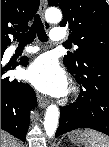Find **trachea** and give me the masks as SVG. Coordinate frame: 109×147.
<instances>
[{"label": "trachea", "instance_id": "3493384b", "mask_svg": "<svg viewBox=\"0 0 109 147\" xmlns=\"http://www.w3.org/2000/svg\"><path fill=\"white\" fill-rule=\"evenodd\" d=\"M36 35L38 36L40 41H42V42L48 41V36L44 30V25H43L39 15H35L33 24L27 33L16 34L15 38L19 42L20 46H26L27 44H30L33 42Z\"/></svg>", "mask_w": 109, "mask_h": 147}]
</instances>
